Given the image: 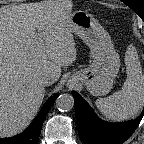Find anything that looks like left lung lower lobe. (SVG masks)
I'll return each instance as SVG.
<instances>
[{"label": "left lung lower lobe", "instance_id": "1", "mask_svg": "<svg viewBox=\"0 0 144 144\" xmlns=\"http://www.w3.org/2000/svg\"><path fill=\"white\" fill-rule=\"evenodd\" d=\"M75 101L76 121L79 135L84 144H122L138 127L144 116L131 121L109 123L100 120L87 102L76 92L72 91Z\"/></svg>", "mask_w": 144, "mask_h": 144}]
</instances>
